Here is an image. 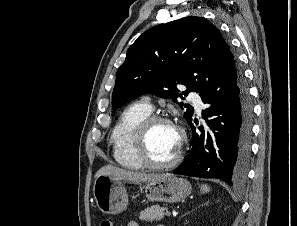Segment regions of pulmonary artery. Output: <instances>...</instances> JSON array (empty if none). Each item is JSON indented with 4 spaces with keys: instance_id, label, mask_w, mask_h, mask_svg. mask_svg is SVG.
<instances>
[{
    "instance_id": "obj_1",
    "label": "pulmonary artery",
    "mask_w": 297,
    "mask_h": 226,
    "mask_svg": "<svg viewBox=\"0 0 297 226\" xmlns=\"http://www.w3.org/2000/svg\"><path fill=\"white\" fill-rule=\"evenodd\" d=\"M189 99L195 104L198 111H200L203 107L202 100L200 99L199 95L196 92H191L189 94ZM144 104L152 109L151 104L148 102V97H145Z\"/></svg>"
}]
</instances>
